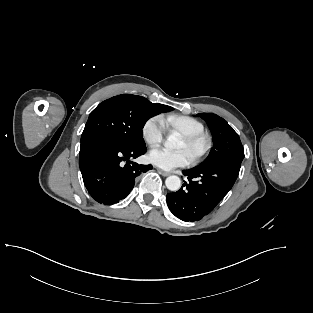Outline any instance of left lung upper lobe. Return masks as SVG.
Returning a JSON list of instances; mask_svg holds the SVG:
<instances>
[{
    "label": "left lung upper lobe",
    "mask_w": 313,
    "mask_h": 313,
    "mask_svg": "<svg viewBox=\"0 0 313 313\" xmlns=\"http://www.w3.org/2000/svg\"><path fill=\"white\" fill-rule=\"evenodd\" d=\"M197 115L207 122L213 136L214 145L208 157L198 166L224 161L242 162L244 149L234 129L216 114L200 113Z\"/></svg>",
    "instance_id": "left-lung-upper-lobe-1"
}]
</instances>
